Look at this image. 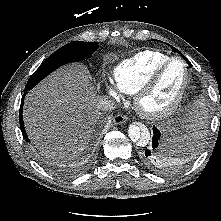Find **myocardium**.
Masks as SVG:
<instances>
[{"label": "myocardium", "instance_id": "1", "mask_svg": "<svg viewBox=\"0 0 221 221\" xmlns=\"http://www.w3.org/2000/svg\"><path fill=\"white\" fill-rule=\"evenodd\" d=\"M179 61L184 67V82L173 101L167 106L157 110H147L143 107V101L147 98L160 82L162 76L173 63ZM190 85V72L186 61L181 57H170L164 62L150 77L149 79L137 90L134 97V104L137 112L146 119L159 120L171 115L183 101Z\"/></svg>", "mask_w": 221, "mask_h": 221}]
</instances>
